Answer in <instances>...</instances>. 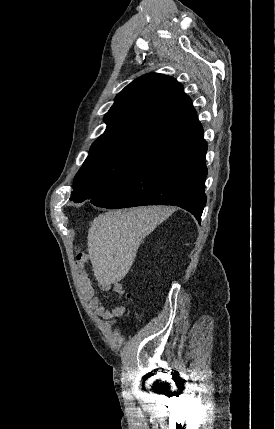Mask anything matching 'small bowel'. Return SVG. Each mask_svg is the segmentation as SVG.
<instances>
[{"mask_svg": "<svg viewBox=\"0 0 275 429\" xmlns=\"http://www.w3.org/2000/svg\"><path fill=\"white\" fill-rule=\"evenodd\" d=\"M78 276H79V289H80L81 296L84 300L88 302L89 308L97 316L103 319H111L119 316L122 313L123 311L122 307L106 308L102 304L100 298L96 296L95 290L90 284L83 261H80L78 264ZM104 287H107V286H104ZM111 287L119 295L124 294V290L120 284L114 283L111 285Z\"/></svg>", "mask_w": 275, "mask_h": 429, "instance_id": "small-bowel-1", "label": "small bowel"}]
</instances>
